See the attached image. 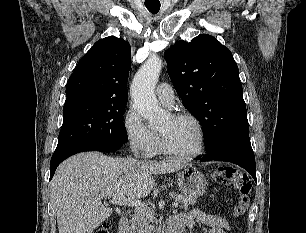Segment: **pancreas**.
<instances>
[{"instance_id":"1","label":"pancreas","mask_w":306,"mask_h":233,"mask_svg":"<svg viewBox=\"0 0 306 233\" xmlns=\"http://www.w3.org/2000/svg\"><path fill=\"white\" fill-rule=\"evenodd\" d=\"M176 201L179 202V207L187 210L190 205L196 203V199L193 197L185 196L182 194H173ZM156 221L154 215L149 212L147 209H142L137 212V215L134 216L131 220L133 233H155L157 226L153 223Z\"/></svg>"}]
</instances>
